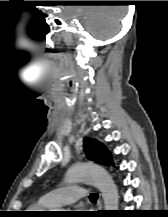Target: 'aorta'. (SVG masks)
<instances>
[{
    "label": "aorta",
    "mask_w": 168,
    "mask_h": 217,
    "mask_svg": "<svg viewBox=\"0 0 168 217\" xmlns=\"http://www.w3.org/2000/svg\"><path fill=\"white\" fill-rule=\"evenodd\" d=\"M78 181L89 182L100 190L105 210H118V189L104 168L92 163L74 165L69 169L65 182L71 184Z\"/></svg>",
    "instance_id": "1"
}]
</instances>
